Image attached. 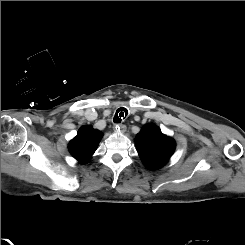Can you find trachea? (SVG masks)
Listing matches in <instances>:
<instances>
[{
  "mask_svg": "<svg viewBox=\"0 0 245 245\" xmlns=\"http://www.w3.org/2000/svg\"><path fill=\"white\" fill-rule=\"evenodd\" d=\"M128 115V110L124 107H121L117 109L115 116L113 118L114 123H120L122 120H124Z\"/></svg>",
  "mask_w": 245,
  "mask_h": 245,
  "instance_id": "1",
  "label": "trachea"
}]
</instances>
